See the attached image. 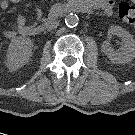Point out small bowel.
I'll list each match as a JSON object with an SVG mask.
<instances>
[{
	"label": "small bowel",
	"mask_w": 135,
	"mask_h": 135,
	"mask_svg": "<svg viewBox=\"0 0 135 135\" xmlns=\"http://www.w3.org/2000/svg\"><path fill=\"white\" fill-rule=\"evenodd\" d=\"M20 0H1L0 6L7 9L12 3H18ZM91 10L98 11L104 15H111L113 10V0H85ZM26 21L22 16H18L15 28L4 32L5 37L13 38L17 34L26 33Z\"/></svg>",
	"instance_id": "obj_1"
}]
</instances>
